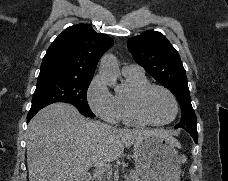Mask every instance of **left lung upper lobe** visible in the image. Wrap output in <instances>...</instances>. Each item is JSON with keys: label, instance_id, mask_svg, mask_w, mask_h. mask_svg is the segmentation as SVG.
<instances>
[{"label": "left lung upper lobe", "instance_id": "left-lung-upper-lobe-1", "mask_svg": "<svg viewBox=\"0 0 228 181\" xmlns=\"http://www.w3.org/2000/svg\"><path fill=\"white\" fill-rule=\"evenodd\" d=\"M134 60L153 78L166 86L178 99L182 118L175 128L197 130L185 69L168 39L156 31H145L128 40Z\"/></svg>", "mask_w": 228, "mask_h": 181}]
</instances>
